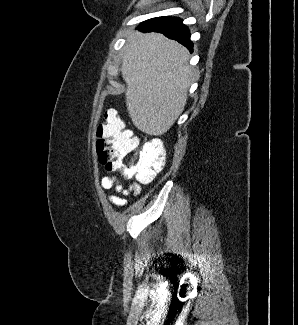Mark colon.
I'll list each match as a JSON object with an SVG mask.
<instances>
[{
  "mask_svg": "<svg viewBox=\"0 0 298 325\" xmlns=\"http://www.w3.org/2000/svg\"><path fill=\"white\" fill-rule=\"evenodd\" d=\"M148 145L139 150V139L126 128L123 118L115 111L105 114L96 131V151L99 161L109 173L125 183L144 184L151 181L165 165L160 149L153 153Z\"/></svg>",
  "mask_w": 298,
  "mask_h": 325,
  "instance_id": "5ec220e1",
  "label": "colon"
}]
</instances>
